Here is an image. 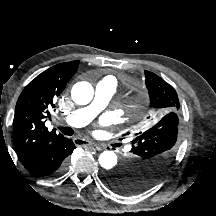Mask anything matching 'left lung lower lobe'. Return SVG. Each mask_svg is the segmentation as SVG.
Segmentation results:
<instances>
[{
  "label": "left lung lower lobe",
  "instance_id": "left-lung-lower-lobe-1",
  "mask_svg": "<svg viewBox=\"0 0 216 216\" xmlns=\"http://www.w3.org/2000/svg\"><path fill=\"white\" fill-rule=\"evenodd\" d=\"M108 176L109 174H106L104 177H103V181L104 183L106 184V180L108 179ZM107 185V184H106ZM108 186V185H107ZM109 187V186H108ZM110 188V187H109ZM111 189V188H110ZM123 195H132V194H123Z\"/></svg>",
  "mask_w": 216,
  "mask_h": 216
}]
</instances>
